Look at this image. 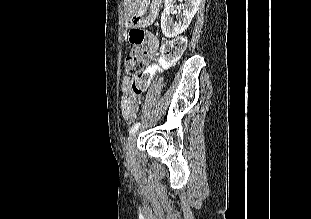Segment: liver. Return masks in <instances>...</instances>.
<instances>
[{
  "label": "liver",
  "instance_id": "6515ba94",
  "mask_svg": "<svg viewBox=\"0 0 311 219\" xmlns=\"http://www.w3.org/2000/svg\"><path fill=\"white\" fill-rule=\"evenodd\" d=\"M139 0H124L125 5V20L128 21L131 15L138 7Z\"/></svg>",
  "mask_w": 311,
  "mask_h": 219
}]
</instances>
